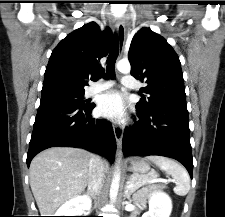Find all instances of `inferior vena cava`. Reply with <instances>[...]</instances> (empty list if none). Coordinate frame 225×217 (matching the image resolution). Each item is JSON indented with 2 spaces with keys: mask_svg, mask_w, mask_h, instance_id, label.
<instances>
[{
  "mask_svg": "<svg viewBox=\"0 0 225 217\" xmlns=\"http://www.w3.org/2000/svg\"><path fill=\"white\" fill-rule=\"evenodd\" d=\"M104 180V163L99 156L92 155L90 159V174L88 194L92 197L99 195Z\"/></svg>",
  "mask_w": 225,
  "mask_h": 217,
  "instance_id": "602c4592",
  "label": "inferior vena cava"
}]
</instances>
